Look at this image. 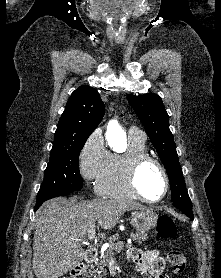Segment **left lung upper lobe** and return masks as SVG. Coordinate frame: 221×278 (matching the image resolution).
<instances>
[{"instance_id": "1", "label": "left lung upper lobe", "mask_w": 221, "mask_h": 278, "mask_svg": "<svg viewBox=\"0 0 221 278\" xmlns=\"http://www.w3.org/2000/svg\"><path fill=\"white\" fill-rule=\"evenodd\" d=\"M127 99L144 125L169 175L173 205H191L174 138L169 129L168 114L161 98L156 94L148 93L142 96L128 95Z\"/></svg>"}]
</instances>
